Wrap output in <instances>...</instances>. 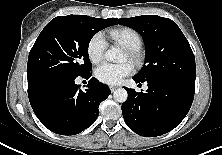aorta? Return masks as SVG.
Wrapping results in <instances>:
<instances>
[{"label":"aorta","mask_w":222,"mask_h":155,"mask_svg":"<svg viewBox=\"0 0 222 155\" xmlns=\"http://www.w3.org/2000/svg\"><path fill=\"white\" fill-rule=\"evenodd\" d=\"M105 57L111 62H121L123 59V52L120 48L111 47L106 51ZM113 97L115 101L123 103L127 100L128 94L124 88H118L114 91Z\"/></svg>","instance_id":"1"}]
</instances>
